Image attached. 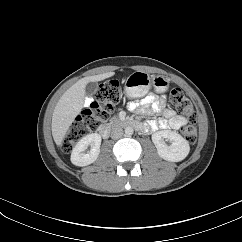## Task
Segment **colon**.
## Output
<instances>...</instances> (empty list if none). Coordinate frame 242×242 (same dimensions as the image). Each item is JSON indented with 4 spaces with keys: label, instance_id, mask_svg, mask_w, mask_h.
Segmentation results:
<instances>
[{
    "label": "colon",
    "instance_id": "colon-1",
    "mask_svg": "<svg viewBox=\"0 0 242 242\" xmlns=\"http://www.w3.org/2000/svg\"><path fill=\"white\" fill-rule=\"evenodd\" d=\"M120 98L121 88L119 82L117 80L104 81L90 99L82 115L78 116L71 124L62 141V149L65 152L71 151L81 138L96 131L109 118L111 111ZM169 103L188 119V123L181 129V133L187 142L193 144L197 138L194 107L179 88L171 91Z\"/></svg>",
    "mask_w": 242,
    "mask_h": 242
}]
</instances>
